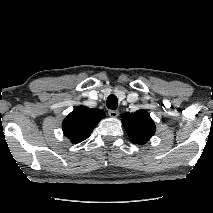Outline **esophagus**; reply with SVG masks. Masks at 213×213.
I'll return each instance as SVG.
<instances>
[{"instance_id": "esophagus-1", "label": "esophagus", "mask_w": 213, "mask_h": 213, "mask_svg": "<svg viewBox=\"0 0 213 213\" xmlns=\"http://www.w3.org/2000/svg\"><path fill=\"white\" fill-rule=\"evenodd\" d=\"M108 115H109L110 117H112V118H116V117L119 116V112L116 111V110H109V111H108Z\"/></svg>"}]
</instances>
